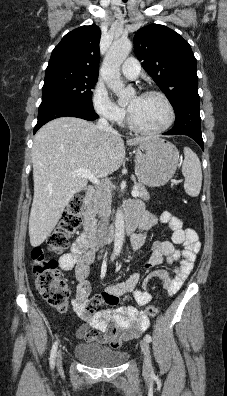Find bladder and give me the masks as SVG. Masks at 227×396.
<instances>
[{
	"instance_id": "obj_1",
	"label": "bladder",
	"mask_w": 227,
	"mask_h": 396,
	"mask_svg": "<svg viewBox=\"0 0 227 396\" xmlns=\"http://www.w3.org/2000/svg\"><path fill=\"white\" fill-rule=\"evenodd\" d=\"M74 355L85 364L109 368L124 364L129 354L125 351L116 350L97 343H79L74 347Z\"/></svg>"
}]
</instances>
